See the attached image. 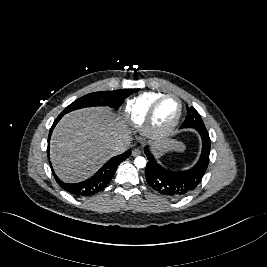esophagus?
Here are the masks:
<instances>
[{
	"mask_svg": "<svg viewBox=\"0 0 267 267\" xmlns=\"http://www.w3.org/2000/svg\"><path fill=\"white\" fill-rule=\"evenodd\" d=\"M141 154V151L139 150V149H134L133 151H132V156H138V155H140Z\"/></svg>",
	"mask_w": 267,
	"mask_h": 267,
	"instance_id": "esophagus-1",
	"label": "esophagus"
}]
</instances>
